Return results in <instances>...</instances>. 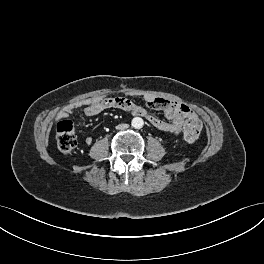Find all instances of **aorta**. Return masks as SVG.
I'll return each instance as SVG.
<instances>
[{"label": "aorta", "instance_id": "1", "mask_svg": "<svg viewBox=\"0 0 264 264\" xmlns=\"http://www.w3.org/2000/svg\"><path fill=\"white\" fill-rule=\"evenodd\" d=\"M131 125H132V127L136 128V129H140L143 127L144 121L140 117H134L131 121Z\"/></svg>", "mask_w": 264, "mask_h": 264}]
</instances>
